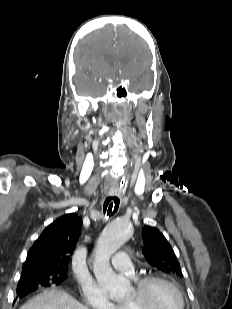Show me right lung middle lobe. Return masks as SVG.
Returning <instances> with one entry per match:
<instances>
[{
    "mask_svg": "<svg viewBox=\"0 0 232 309\" xmlns=\"http://www.w3.org/2000/svg\"><path fill=\"white\" fill-rule=\"evenodd\" d=\"M66 272H59L54 270H42L37 272H26L21 275L18 289L22 286H51L57 285L66 279Z\"/></svg>",
    "mask_w": 232,
    "mask_h": 309,
    "instance_id": "right-lung-middle-lobe-1",
    "label": "right lung middle lobe"
}]
</instances>
